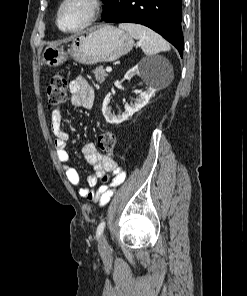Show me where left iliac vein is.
Returning a JSON list of instances; mask_svg holds the SVG:
<instances>
[{"label": "left iliac vein", "instance_id": "obj_1", "mask_svg": "<svg viewBox=\"0 0 247 296\" xmlns=\"http://www.w3.org/2000/svg\"><path fill=\"white\" fill-rule=\"evenodd\" d=\"M100 248L101 250L105 251L109 248V245L107 243V240H106V236L105 235H102L101 236V239H100Z\"/></svg>", "mask_w": 247, "mask_h": 296}]
</instances>
